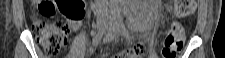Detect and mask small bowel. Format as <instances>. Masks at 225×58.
Instances as JSON below:
<instances>
[{"label":"small bowel","mask_w":225,"mask_h":58,"mask_svg":"<svg viewBox=\"0 0 225 58\" xmlns=\"http://www.w3.org/2000/svg\"><path fill=\"white\" fill-rule=\"evenodd\" d=\"M69 25L72 28V30H78L81 22L80 21H74V20H69Z\"/></svg>","instance_id":"small-bowel-1"}]
</instances>
